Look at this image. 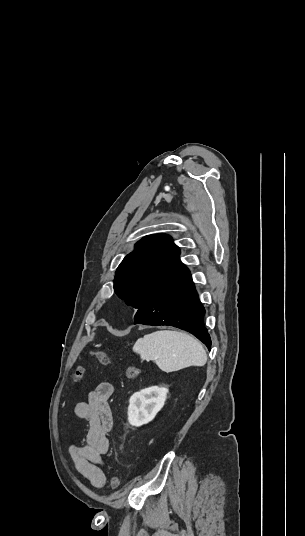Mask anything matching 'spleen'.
Returning a JSON list of instances; mask_svg holds the SVG:
<instances>
[{
    "label": "spleen",
    "mask_w": 305,
    "mask_h": 536,
    "mask_svg": "<svg viewBox=\"0 0 305 536\" xmlns=\"http://www.w3.org/2000/svg\"><path fill=\"white\" fill-rule=\"evenodd\" d=\"M133 352L141 360H152L162 372H177L189 366H204L207 354L200 342L183 332L162 330L139 338Z\"/></svg>",
    "instance_id": "spleen-1"
}]
</instances>
